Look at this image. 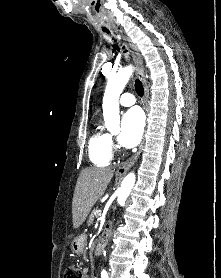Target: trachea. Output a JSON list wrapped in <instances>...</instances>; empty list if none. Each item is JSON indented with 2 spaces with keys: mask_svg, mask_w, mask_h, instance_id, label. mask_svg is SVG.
<instances>
[{
  "mask_svg": "<svg viewBox=\"0 0 221 278\" xmlns=\"http://www.w3.org/2000/svg\"><path fill=\"white\" fill-rule=\"evenodd\" d=\"M106 33H108V34H110L109 33V31H105ZM125 47L123 46V49H124ZM124 52H127V50H125ZM135 90H136V93L140 96V97H142L143 96V94H144V88H143V85H142V83H141V81L139 80V79H136L135 80Z\"/></svg>",
  "mask_w": 221,
  "mask_h": 278,
  "instance_id": "obj_1",
  "label": "trachea"
}]
</instances>
